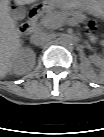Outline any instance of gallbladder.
I'll return each instance as SVG.
<instances>
[{
    "mask_svg": "<svg viewBox=\"0 0 104 137\" xmlns=\"http://www.w3.org/2000/svg\"><path fill=\"white\" fill-rule=\"evenodd\" d=\"M10 13L15 19H23L27 14V9L23 6H20L11 10Z\"/></svg>",
    "mask_w": 104,
    "mask_h": 137,
    "instance_id": "gallbladder-1",
    "label": "gallbladder"
}]
</instances>
